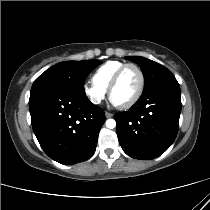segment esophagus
<instances>
[{"label": "esophagus", "mask_w": 210, "mask_h": 210, "mask_svg": "<svg viewBox=\"0 0 210 210\" xmlns=\"http://www.w3.org/2000/svg\"><path fill=\"white\" fill-rule=\"evenodd\" d=\"M105 116H106V118H111V117H113V114L106 111Z\"/></svg>", "instance_id": "1"}]
</instances>
